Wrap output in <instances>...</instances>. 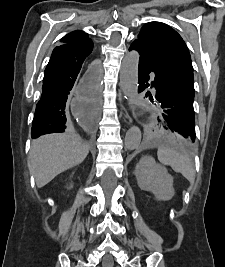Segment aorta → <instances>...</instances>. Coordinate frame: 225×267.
Here are the masks:
<instances>
[{
    "label": "aorta",
    "mask_w": 225,
    "mask_h": 267,
    "mask_svg": "<svg viewBox=\"0 0 225 267\" xmlns=\"http://www.w3.org/2000/svg\"><path fill=\"white\" fill-rule=\"evenodd\" d=\"M139 53L129 52L123 59L120 69V85L124 94L136 96L138 91ZM141 142V131L137 126L131 127L125 136L124 144L128 150H135Z\"/></svg>",
    "instance_id": "1"
}]
</instances>
